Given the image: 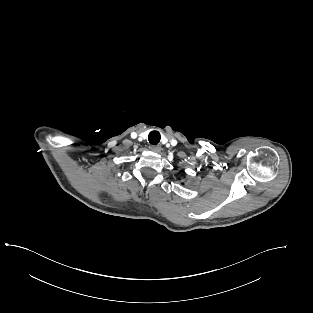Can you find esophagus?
I'll return each mask as SVG.
<instances>
[{"label":"esophagus","mask_w":313,"mask_h":313,"mask_svg":"<svg viewBox=\"0 0 313 313\" xmlns=\"http://www.w3.org/2000/svg\"><path fill=\"white\" fill-rule=\"evenodd\" d=\"M150 149L153 151V152H160L161 151V147L159 145H151L150 146Z\"/></svg>","instance_id":"obj_1"}]
</instances>
